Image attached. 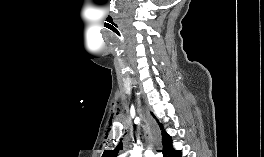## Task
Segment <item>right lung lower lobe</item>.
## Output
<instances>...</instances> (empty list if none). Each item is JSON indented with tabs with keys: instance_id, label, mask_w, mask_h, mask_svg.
I'll use <instances>...</instances> for the list:
<instances>
[{
	"instance_id": "obj_1",
	"label": "right lung lower lobe",
	"mask_w": 264,
	"mask_h": 157,
	"mask_svg": "<svg viewBox=\"0 0 264 157\" xmlns=\"http://www.w3.org/2000/svg\"><path fill=\"white\" fill-rule=\"evenodd\" d=\"M162 152L163 157H182L181 152L172 147V142Z\"/></svg>"
}]
</instances>
